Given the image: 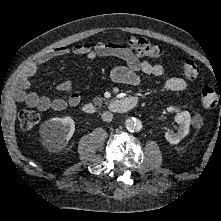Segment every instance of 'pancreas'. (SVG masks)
<instances>
[{
	"mask_svg": "<svg viewBox=\"0 0 221 221\" xmlns=\"http://www.w3.org/2000/svg\"><path fill=\"white\" fill-rule=\"evenodd\" d=\"M103 101H105V99L102 98V97H96V98L93 99L94 104L98 105V106H100Z\"/></svg>",
	"mask_w": 221,
	"mask_h": 221,
	"instance_id": "1",
	"label": "pancreas"
}]
</instances>
